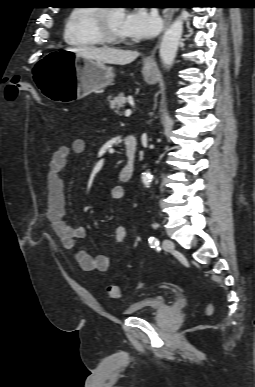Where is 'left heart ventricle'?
Here are the masks:
<instances>
[{
    "label": "left heart ventricle",
    "mask_w": 255,
    "mask_h": 387,
    "mask_svg": "<svg viewBox=\"0 0 255 387\" xmlns=\"http://www.w3.org/2000/svg\"><path fill=\"white\" fill-rule=\"evenodd\" d=\"M125 13L121 9L114 8L110 13V26L113 32L119 36L126 37L123 31Z\"/></svg>",
    "instance_id": "obj_1"
}]
</instances>
